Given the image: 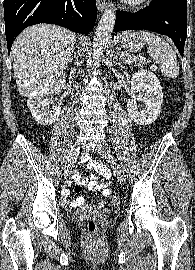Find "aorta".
I'll return each mask as SVG.
<instances>
[{"mask_svg": "<svg viewBox=\"0 0 195 270\" xmlns=\"http://www.w3.org/2000/svg\"><path fill=\"white\" fill-rule=\"evenodd\" d=\"M115 19V12L112 9H106L98 23L93 40V60L96 65H99L104 57L107 43L114 29Z\"/></svg>", "mask_w": 195, "mask_h": 270, "instance_id": "1", "label": "aorta"}]
</instances>
